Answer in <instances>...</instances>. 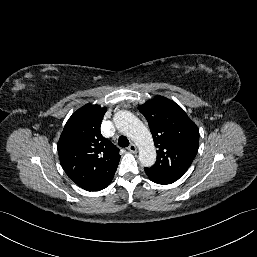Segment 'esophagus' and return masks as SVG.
Here are the masks:
<instances>
[{"label":"esophagus","mask_w":257,"mask_h":257,"mask_svg":"<svg viewBox=\"0 0 257 257\" xmlns=\"http://www.w3.org/2000/svg\"><path fill=\"white\" fill-rule=\"evenodd\" d=\"M128 150L132 153L137 152V146L134 143H131L130 146L128 147Z\"/></svg>","instance_id":"34e87169"}]
</instances>
